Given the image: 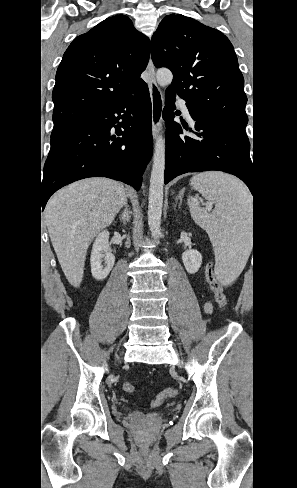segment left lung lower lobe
<instances>
[{
    "label": "left lung lower lobe",
    "instance_id": "0a47b994",
    "mask_svg": "<svg viewBox=\"0 0 297 488\" xmlns=\"http://www.w3.org/2000/svg\"><path fill=\"white\" fill-rule=\"evenodd\" d=\"M174 102L175 95L166 90L163 118L168 125L164 183L187 172L218 170L240 178L253 194L254 170L247 135L191 115L198 138L183 136L181 126L173 122Z\"/></svg>",
    "mask_w": 297,
    "mask_h": 488
}]
</instances>
